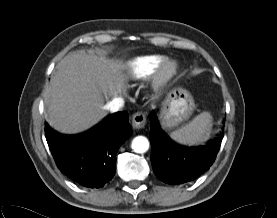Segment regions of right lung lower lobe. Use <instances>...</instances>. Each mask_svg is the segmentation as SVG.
<instances>
[{
    "label": "right lung lower lobe",
    "instance_id": "obj_1",
    "mask_svg": "<svg viewBox=\"0 0 277 218\" xmlns=\"http://www.w3.org/2000/svg\"><path fill=\"white\" fill-rule=\"evenodd\" d=\"M46 140L58 168L88 188L103 187L116 171L119 147L131 136L127 112L107 117L80 135H62L45 124Z\"/></svg>",
    "mask_w": 277,
    "mask_h": 218
}]
</instances>
